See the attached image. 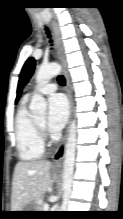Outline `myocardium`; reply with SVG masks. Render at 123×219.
I'll use <instances>...</instances> for the list:
<instances>
[{
    "label": "myocardium",
    "instance_id": "1",
    "mask_svg": "<svg viewBox=\"0 0 123 219\" xmlns=\"http://www.w3.org/2000/svg\"><path fill=\"white\" fill-rule=\"evenodd\" d=\"M36 124H37L39 130H42V129H43V124H40L39 122H36Z\"/></svg>",
    "mask_w": 123,
    "mask_h": 219
}]
</instances>
